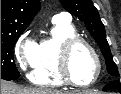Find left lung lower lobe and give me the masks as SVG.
<instances>
[{"instance_id":"obj_1","label":"left lung lower lobe","mask_w":121,"mask_h":94,"mask_svg":"<svg viewBox=\"0 0 121 94\" xmlns=\"http://www.w3.org/2000/svg\"><path fill=\"white\" fill-rule=\"evenodd\" d=\"M108 89H116L121 93V85L118 82H111L103 88V90H108Z\"/></svg>"}]
</instances>
